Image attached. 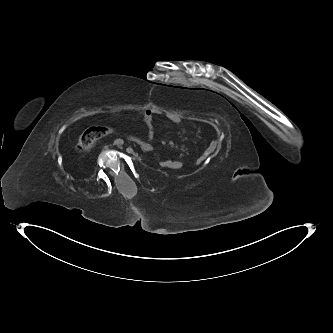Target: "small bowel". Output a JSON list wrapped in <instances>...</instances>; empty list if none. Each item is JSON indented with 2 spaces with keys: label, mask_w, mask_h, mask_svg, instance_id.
<instances>
[{
  "label": "small bowel",
  "mask_w": 333,
  "mask_h": 333,
  "mask_svg": "<svg viewBox=\"0 0 333 333\" xmlns=\"http://www.w3.org/2000/svg\"><path fill=\"white\" fill-rule=\"evenodd\" d=\"M155 115H156V113L153 112L152 110H146L143 113V116H142V120H143V122L146 125L147 130H148V137L149 138H151L152 135H153L152 121H153V118H154ZM181 120L182 119L177 115H172V116L169 117V121H171L172 123L178 124V123L181 122ZM208 155H209V152H205L203 155H201L197 159V163H202L207 158ZM172 162H173V167L172 168H166V169L177 170V169H180L183 166V163L179 160H172Z\"/></svg>",
  "instance_id": "c3829d8e"
}]
</instances>
